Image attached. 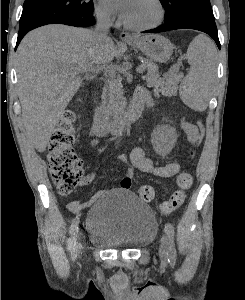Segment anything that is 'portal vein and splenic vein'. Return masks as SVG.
<instances>
[{"label": "portal vein and splenic vein", "mask_w": 245, "mask_h": 300, "mask_svg": "<svg viewBox=\"0 0 245 300\" xmlns=\"http://www.w3.org/2000/svg\"><path fill=\"white\" fill-rule=\"evenodd\" d=\"M88 71H94V69H89ZM144 71H145L144 65L138 66L137 72H138L139 74H142Z\"/></svg>", "instance_id": "obj_1"}]
</instances>
